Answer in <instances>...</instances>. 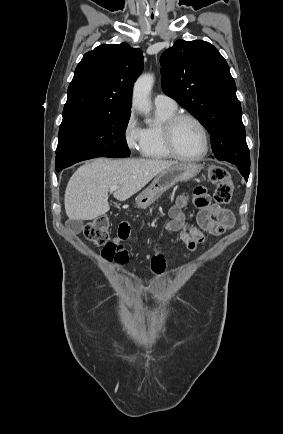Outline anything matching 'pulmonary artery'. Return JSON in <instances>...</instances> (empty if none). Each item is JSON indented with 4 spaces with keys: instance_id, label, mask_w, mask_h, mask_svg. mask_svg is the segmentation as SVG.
<instances>
[{
    "instance_id": "obj_1",
    "label": "pulmonary artery",
    "mask_w": 283,
    "mask_h": 434,
    "mask_svg": "<svg viewBox=\"0 0 283 434\" xmlns=\"http://www.w3.org/2000/svg\"><path fill=\"white\" fill-rule=\"evenodd\" d=\"M154 105L156 108L160 109H176L177 104L174 99L171 97L165 95V94H158L154 98Z\"/></svg>"
}]
</instances>
